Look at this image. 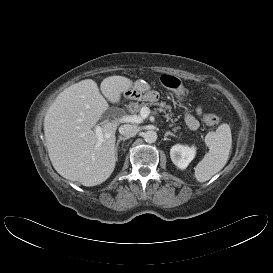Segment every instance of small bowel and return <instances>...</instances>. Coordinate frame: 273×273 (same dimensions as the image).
Returning a JSON list of instances; mask_svg holds the SVG:
<instances>
[{"label": "small bowel", "instance_id": "small-bowel-1", "mask_svg": "<svg viewBox=\"0 0 273 273\" xmlns=\"http://www.w3.org/2000/svg\"><path fill=\"white\" fill-rule=\"evenodd\" d=\"M196 113H197V115L199 117L203 115V111H202V108L200 106L197 107ZM184 119H185V122H186L187 126L190 129L195 130V129H197L199 127L198 119L195 116H193L192 114L186 112L184 114Z\"/></svg>", "mask_w": 273, "mask_h": 273}]
</instances>
